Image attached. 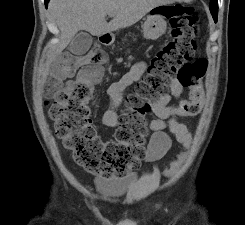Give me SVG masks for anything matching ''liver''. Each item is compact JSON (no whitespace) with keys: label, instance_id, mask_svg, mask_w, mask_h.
Returning <instances> with one entry per match:
<instances>
[{"label":"liver","instance_id":"liver-1","mask_svg":"<svg viewBox=\"0 0 245 225\" xmlns=\"http://www.w3.org/2000/svg\"><path fill=\"white\" fill-rule=\"evenodd\" d=\"M173 0H51L49 10L60 30L59 42L53 48L42 73L48 75L50 64L71 42L76 33L85 30L94 36L126 28L137 23L151 9ZM114 18L107 23L106 15Z\"/></svg>","mask_w":245,"mask_h":225}]
</instances>
